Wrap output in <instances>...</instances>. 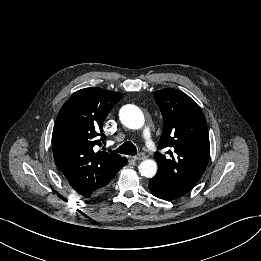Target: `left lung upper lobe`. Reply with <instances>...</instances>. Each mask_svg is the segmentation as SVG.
I'll list each match as a JSON object with an SVG mask.
<instances>
[{"label": "left lung upper lobe", "instance_id": "left-lung-upper-lobe-1", "mask_svg": "<svg viewBox=\"0 0 261 261\" xmlns=\"http://www.w3.org/2000/svg\"><path fill=\"white\" fill-rule=\"evenodd\" d=\"M163 116V132L158 149L168 156L154 154L159 178L170 190L185 195L200 179L210 155L209 134L198 104L176 89L153 94Z\"/></svg>", "mask_w": 261, "mask_h": 261}]
</instances>
